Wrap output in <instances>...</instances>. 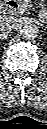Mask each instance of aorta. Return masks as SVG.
I'll list each match as a JSON object with an SVG mask.
<instances>
[{
  "mask_svg": "<svg viewBox=\"0 0 47 129\" xmlns=\"http://www.w3.org/2000/svg\"><path fill=\"white\" fill-rule=\"evenodd\" d=\"M20 35L26 40H33L38 37L39 29L34 22L26 21L19 28Z\"/></svg>",
  "mask_w": 47,
  "mask_h": 129,
  "instance_id": "aorta-1",
  "label": "aorta"
}]
</instances>
